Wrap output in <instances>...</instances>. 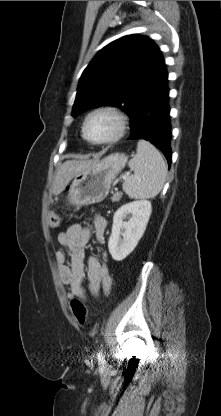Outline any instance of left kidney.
<instances>
[{
  "instance_id": "obj_1",
  "label": "left kidney",
  "mask_w": 221,
  "mask_h": 416,
  "mask_svg": "<svg viewBox=\"0 0 221 416\" xmlns=\"http://www.w3.org/2000/svg\"><path fill=\"white\" fill-rule=\"evenodd\" d=\"M151 212V202L147 200L127 203L115 212L108 241L114 260L122 261L135 249L146 230ZM128 215H131L129 220L124 221Z\"/></svg>"
}]
</instances>
